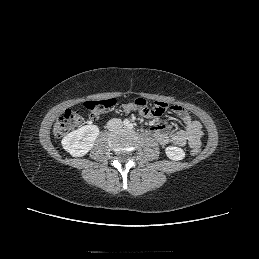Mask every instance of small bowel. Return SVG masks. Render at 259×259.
Returning a JSON list of instances; mask_svg holds the SVG:
<instances>
[{"mask_svg":"<svg viewBox=\"0 0 259 259\" xmlns=\"http://www.w3.org/2000/svg\"><path fill=\"white\" fill-rule=\"evenodd\" d=\"M171 110L183 124V128L171 133L167 125L152 123L150 130L161 145L185 146L199 148L203 136V127L199 121L193 120L181 106H172Z\"/></svg>","mask_w":259,"mask_h":259,"instance_id":"obj_1","label":"small bowel"}]
</instances>
